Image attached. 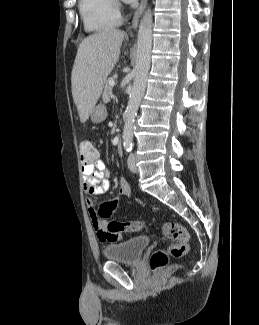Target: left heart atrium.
Listing matches in <instances>:
<instances>
[{
  "label": "left heart atrium",
  "instance_id": "39dd6f15",
  "mask_svg": "<svg viewBox=\"0 0 259 325\" xmlns=\"http://www.w3.org/2000/svg\"><path fill=\"white\" fill-rule=\"evenodd\" d=\"M125 1H127V2H132V1H134V0H125Z\"/></svg>",
  "mask_w": 259,
  "mask_h": 325
}]
</instances>
